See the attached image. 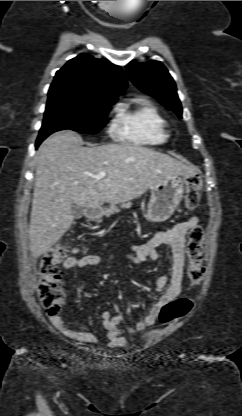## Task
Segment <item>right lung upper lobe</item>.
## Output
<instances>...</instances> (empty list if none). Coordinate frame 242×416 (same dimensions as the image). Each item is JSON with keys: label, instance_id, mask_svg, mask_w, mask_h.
Masks as SVG:
<instances>
[{"label": "right lung upper lobe", "instance_id": "1", "mask_svg": "<svg viewBox=\"0 0 242 416\" xmlns=\"http://www.w3.org/2000/svg\"><path fill=\"white\" fill-rule=\"evenodd\" d=\"M126 86V77L119 66L80 54L56 72L48 97L116 101Z\"/></svg>", "mask_w": 242, "mask_h": 416}]
</instances>
